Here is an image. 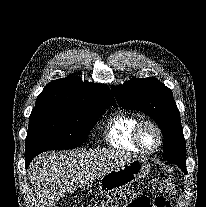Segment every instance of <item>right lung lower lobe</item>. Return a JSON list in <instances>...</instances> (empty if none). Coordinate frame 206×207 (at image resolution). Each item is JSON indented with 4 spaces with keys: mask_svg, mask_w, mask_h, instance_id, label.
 Listing matches in <instances>:
<instances>
[{
    "mask_svg": "<svg viewBox=\"0 0 206 207\" xmlns=\"http://www.w3.org/2000/svg\"><path fill=\"white\" fill-rule=\"evenodd\" d=\"M35 156H36V155H34V154L25 155V164H26V168L28 167V165L30 164L31 160H32Z\"/></svg>",
    "mask_w": 206,
    "mask_h": 207,
    "instance_id": "1",
    "label": "right lung lower lobe"
}]
</instances>
